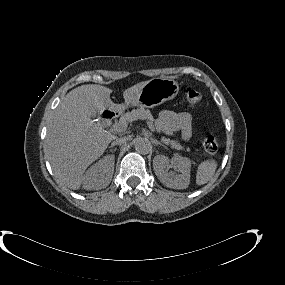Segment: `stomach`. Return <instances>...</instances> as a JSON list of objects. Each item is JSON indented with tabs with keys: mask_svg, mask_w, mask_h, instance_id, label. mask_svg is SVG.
<instances>
[{
	"mask_svg": "<svg viewBox=\"0 0 285 285\" xmlns=\"http://www.w3.org/2000/svg\"><path fill=\"white\" fill-rule=\"evenodd\" d=\"M179 92V85L173 79L154 78L149 80L140 90L137 100L134 104L129 106H140L153 108L165 101L171 100L177 96ZM124 106H116L109 108V110H122Z\"/></svg>",
	"mask_w": 285,
	"mask_h": 285,
	"instance_id": "stomach-1",
	"label": "stomach"
}]
</instances>
